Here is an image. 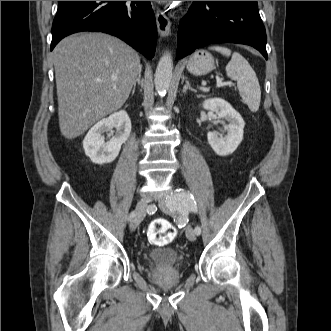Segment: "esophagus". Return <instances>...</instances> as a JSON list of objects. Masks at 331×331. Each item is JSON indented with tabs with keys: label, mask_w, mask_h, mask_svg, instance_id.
<instances>
[{
	"label": "esophagus",
	"mask_w": 331,
	"mask_h": 331,
	"mask_svg": "<svg viewBox=\"0 0 331 331\" xmlns=\"http://www.w3.org/2000/svg\"><path fill=\"white\" fill-rule=\"evenodd\" d=\"M155 16L159 34L162 37L168 36L171 32V22L169 18L159 8H156Z\"/></svg>",
	"instance_id": "obj_1"
}]
</instances>
